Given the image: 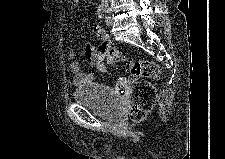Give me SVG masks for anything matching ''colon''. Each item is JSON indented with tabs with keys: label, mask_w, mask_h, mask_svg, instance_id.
<instances>
[{
	"label": "colon",
	"mask_w": 225,
	"mask_h": 159,
	"mask_svg": "<svg viewBox=\"0 0 225 159\" xmlns=\"http://www.w3.org/2000/svg\"><path fill=\"white\" fill-rule=\"evenodd\" d=\"M76 2L77 0H70ZM98 55L106 59L109 65H114L122 60L127 71L136 81L132 87L129 117L132 121H141L153 109L157 92L155 87L148 81L140 78L156 79L160 76V67L150 60L132 59L125 56L120 50L112 47L101 46Z\"/></svg>",
	"instance_id": "colon-1"
}]
</instances>
